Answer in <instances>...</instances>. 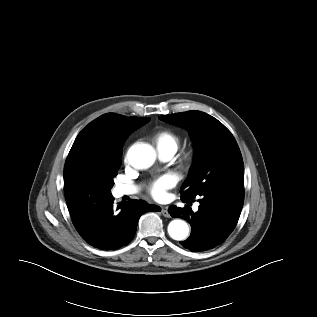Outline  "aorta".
Here are the masks:
<instances>
[{"label":"aorta","instance_id":"aorta-1","mask_svg":"<svg viewBox=\"0 0 317 317\" xmlns=\"http://www.w3.org/2000/svg\"><path fill=\"white\" fill-rule=\"evenodd\" d=\"M127 158L132 167L136 169H147L154 164L156 153L150 145L139 144L129 149ZM168 233L174 240H185L189 234V226L181 219H174L168 225Z\"/></svg>","mask_w":317,"mask_h":317}]
</instances>
